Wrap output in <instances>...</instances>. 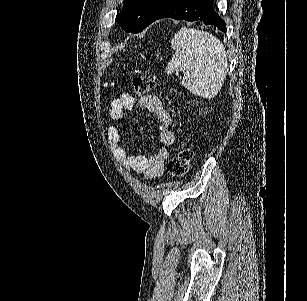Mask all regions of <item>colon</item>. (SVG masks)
<instances>
[{
    "instance_id": "colon-1",
    "label": "colon",
    "mask_w": 307,
    "mask_h": 301,
    "mask_svg": "<svg viewBox=\"0 0 307 301\" xmlns=\"http://www.w3.org/2000/svg\"><path fill=\"white\" fill-rule=\"evenodd\" d=\"M156 86V81L153 77L147 75L136 76L133 79V89L138 95H146L150 93ZM194 154L190 148L180 149L167 164V171L173 177H182L190 169Z\"/></svg>"
}]
</instances>
